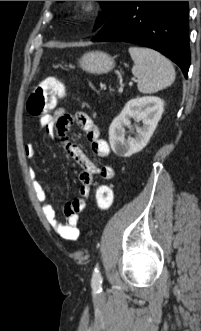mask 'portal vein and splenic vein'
I'll list each match as a JSON object with an SVG mask.
<instances>
[{"instance_id": "18ae733b", "label": "portal vein and splenic vein", "mask_w": 201, "mask_h": 331, "mask_svg": "<svg viewBox=\"0 0 201 331\" xmlns=\"http://www.w3.org/2000/svg\"><path fill=\"white\" fill-rule=\"evenodd\" d=\"M133 81H134V79H133ZM129 85H132V82H130Z\"/></svg>"}]
</instances>
